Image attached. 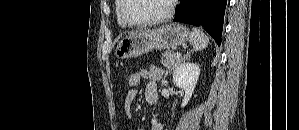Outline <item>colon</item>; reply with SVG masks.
<instances>
[{
  "label": "colon",
  "mask_w": 299,
  "mask_h": 130,
  "mask_svg": "<svg viewBox=\"0 0 299 130\" xmlns=\"http://www.w3.org/2000/svg\"><path fill=\"white\" fill-rule=\"evenodd\" d=\"M127 86H128V90H135L138 88L140 81H141V76L139 72H131L128 76H127Z\"/></svg>",
  "instance_id": "1"
}]
</instances>
